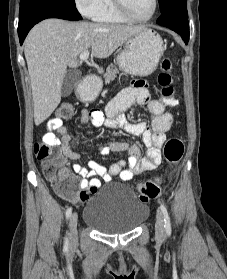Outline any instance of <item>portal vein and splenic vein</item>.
Instances as JSON below:
<instances>
[{
    "instance_id": "portal-vein-and-splenic-vein-1",
    "label": "portal vein and splenic vein",
    "mask_w": 227,
    "mask_h": 279,
    "mask_svg": "<svg viewBox=\"0 0 227 279\" xmlns=\"http://www.w3.org/2000/svg\"><path fill=\"white\" fill-rule=\"evenodd\" d=\"M88 57H89V51H88V50L82 52V53L80 54V56H79V58H80L81 61H84V62H86L87 64H89Z\"/></svg>"
}]
</instances>
